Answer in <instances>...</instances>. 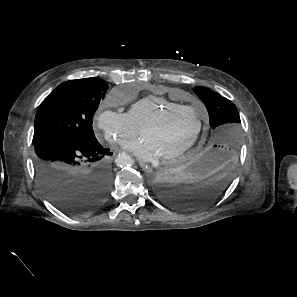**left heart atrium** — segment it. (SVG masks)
Segmentation results:
<instances>
[{"label":"left heart atrium","instance_id":"left-heart-atrium-1","mask_svg":"<svg viewBox=\"0 0 297 297\" xmlns=\"http://www.w3.org/2000/svg\"><path fill=\"white\" fill-rule=\"evenodd\" d=\"M125 148L142 161L153 162L161 157L155 144L145 137L128 142Z\"/></svg>","mask_w":297,"mask_h":297}]
</instances>
